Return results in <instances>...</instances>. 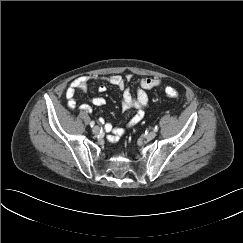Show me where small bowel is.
I'll return each instance as SVG.
<instances>
[{"label": "small bowel", "mask_w": 243, "mask_h": 243, "mask_svg": "<svg viewBox=\"0 0 243 243\" xmlns=\"http://www.w3.org/2000/svg\"><path fill=\"white\" fill-rule=\"evenodd\" d=\"M90 80L91 78L89 76H80L70 82L66 91V96L71 108H75L78 103L76 92L87 91ZM107 80L110 84L116 86L123 92L122 110L125 115H128L131 111L134 112L133 116L128 121V127H133L144 118L145 108L149 103L147 91L158 87L161 83L157 78H141L138 80L136 95H133L127 85V82L131 80V76L123 78L119 75H112ZM106 89L104 84L98 87V91L101 93L105 92ZM105 102L103 97H94L89 99L88 102L81 103L80 109L89 112L91 110L89 104L103 106ZM105 130L110 133L109 140L111 142H117L125 133L123 128L113 126L111 123L105 124Z\"/></svg>", "instance_id": "c3829d8e"}]
</instances>
